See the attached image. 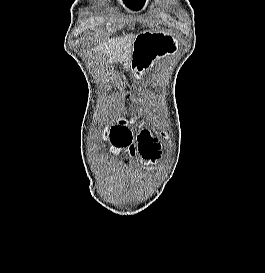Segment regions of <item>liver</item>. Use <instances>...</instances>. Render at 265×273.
<instances>
[{
  "label": "liver",
  "mask_w": 265,
  "mask_h": 273,
  "mask_svg": "<svg viewBox=\"0 0 265 273\" xmlns=\"http://www.w3.org/2000/svg\"><path fill=\"white\" fill-rule=\"evenodd\" d=\"M135 36L128 34L124 37H119L113 40L103 43L96 47L95 50H103L107 53L109 62L113 63L115 60L123 62L125 68H128L131 64L132 47Z\"/></svg>",
  "instance_id": "1"
}]
</instances>
